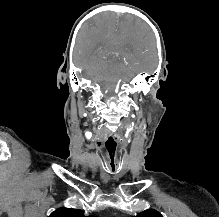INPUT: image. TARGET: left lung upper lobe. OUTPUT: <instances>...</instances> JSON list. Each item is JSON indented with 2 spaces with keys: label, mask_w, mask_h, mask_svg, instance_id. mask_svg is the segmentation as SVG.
Listing matches in <instances>:
<instances>
[{
  "label": "left lung upper lobe",
  "mask_w": 219,
  "mask_h": 217,
  "mask_svg": "<svg viewBox=\"0 0 219 217\" xmlns=\"http://www.w3.org/2000/svg\"><path fill=\"white\" fill-rule=\"evenodd\" d=\"M136 217H163V216L156 210L150 209L139 213Z\"/></svg>",
  "instance_id": "1"
}]
</instances>
